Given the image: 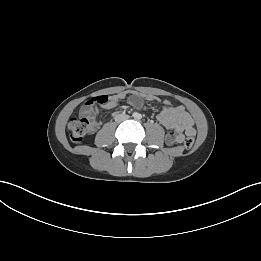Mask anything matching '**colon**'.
Wrapping results in <instances>:
<instances>
[{
  "label": "colon",
  "instance_id": "5ec220e1",
  "mask_svg": "<svg viewBox=\"0 0 261 261\" xmlns=\"http://www.w3.org/2000/svg\"><path fill=\"white\" fill-rule=\"evenodd\" d=\"M108 100V96L101 95L90 99L87 104L89 105H96V104H103ZM91 127V121L88 115L81 114L78 117H73L68 122V130L70 134V139L75 142H81L87 133L89 132ZM194 144V136L187 135L184 139L183 145L186 150H190Z\"/></svg>",
  "mask_w": 261,
  "mask_h": 261
}]
</instances>
